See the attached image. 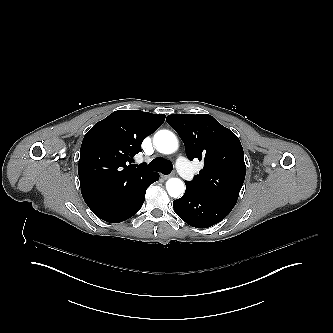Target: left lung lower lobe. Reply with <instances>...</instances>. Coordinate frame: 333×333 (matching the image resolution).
<instances>
[{
	"label": "left lung lower lobe",
	"mask_w": 333,
	"mask_h": 333,
	"mask_svg": "<svg viewBox=\"0 0 333 333\" xmlns=\"http://www.w3.org/2000/svg\"><path fill=\"white\" fill-rule=\"evenodd\" d=\"M237 201L202 194L186 184L185 194L173 202L175 213L187 224L196 228H208L222 221Z\"/></svg>",
	"instance_id": "1"
}]
</instances>
